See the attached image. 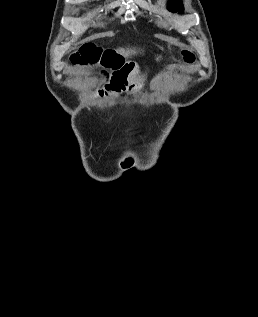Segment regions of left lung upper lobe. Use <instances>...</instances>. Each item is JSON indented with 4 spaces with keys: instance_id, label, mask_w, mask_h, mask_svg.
I'll use <instances>...</instances> for the list:
<instances>
[{
    "instance_id": "left-lung-upper-lobe-1",
    "label": "left lung upper lobe",
    "mask_w": 258,
    "mask_h": 317,
    "mask_svg": "<svg viewBox=\"0 0 258 317\" xmlns=\"http://www.w3.org/2000/svg\"><path fill=\"white\" fill-rule=\"evenodd\" d=\"M168 9L172 12H183L181 0H171L168 4Z\"/></svg>"
}]
</instances>
